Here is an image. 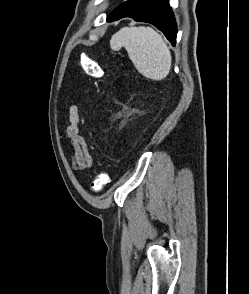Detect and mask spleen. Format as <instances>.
Returning a JSON list of instances; mask_svg holds the SVG:
<instances>
[{"label":"spleen","mask_w":249,"mask_h":294,"mask_svg":"<svg viewBox=\"0 0 249 294\" xmlns=\"http://www.w3.org/2000/svg\"><path fill=\"white\" fill-rule=\"evenodd\" d=\"M114 51L122 47L135 68L144 77L152 80L164 79L171 69V53L164 39L150 27H123L110 41Z\"/></svg>","instance_id":"3e777b00"}]
</instances>
